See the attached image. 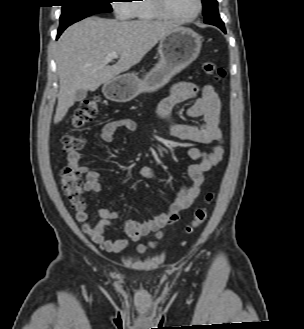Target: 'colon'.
Wrapping results in <instances>:
<instances>
[{
    "mask_svg": "<svg viewBox=\"0 0 304 329\" xmlns=\"http://www.w3.org/2000/svg\"><path fill=\"white\" fill-rule=\"evenodd\" d=\"M202 69L206 75L213 76L219 81L225 77V71L218 68L212 62H204ZM99 112V100L97 97H91L84 100L76 110L71 126L72 129H80L92 121ZM84 140L75 136L72 132L66 133L61 138L62 149L66 153H74L84 147ZM60 188L63 191L66 199L74 207L77 205L84 194V183L81 173L71 167L64 168L60 173ZM213 200V194L206 195L207 203ZM208 218V207L198 208L194 213L193 221L184 228L185 234L193 233L199 228Z\"/></svg>",
    "mask_w": 304,
    "mask_h": 329,
    "instance_id": "1",
    "label": "colon"
}]
</instances>
